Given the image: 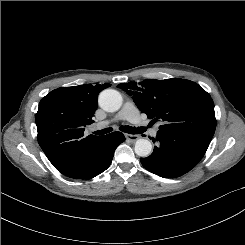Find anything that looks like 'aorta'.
Segmentation results:
<instances>
[{
	"label": "aorta",
	"instance_id": "1",
	"mask_svg": "<svg viewBox=\"0 0 245 245\" xmlns=\"http://www.w3.org/2000/svg\"><path fill=\"white\" fill-rule=\"evenodd\" d=\"M99 106L107 112L118 111L122 106V96L114 89L103 90L98 98ZM135 153L140 157H147L152 151V144L147 139H138L134 147Z\"/></svg>",
	"mask_w": 245,
	"mask_h": 245
}]
</instances>
